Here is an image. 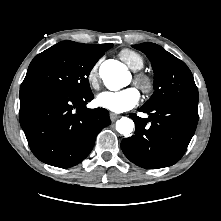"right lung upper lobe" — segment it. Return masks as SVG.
I'll return each instance as SVG.
<instances>
[{
	"label": "right lung upper lobe",
	"mask_w": 221,
	"mask_h": 221,
	"mask_svg": "<svg viewBox=\"0 0 221 221\" xmlns=\"http://www.w3.org/2000/svg\"><path fill=\"white\" fill-rule=\"evenodd\" d=\"M86 47L94 50H105L109 44L95 45V44H84Z\"/></svg>",
	"instance_id": "1"
}]
</instances>
